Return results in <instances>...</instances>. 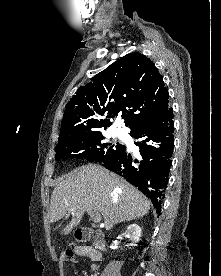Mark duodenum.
<instances>
[{
    "instance_id": "obj_1",
    "label": "duodenum",
    "mask_w": 221,
    "mask_h": 276,
    "mask_svg": "<svg viewBox=\"0 0 221 276\" xmlns=\"http://www.w3.org/2000/svg\"><path fill=\"white\" fill-rule=\"evenodd\" d=\"M76 239L81 243L92 242V248L96 251L104 249V241L101 237H94V232L87 228L77 229L75 231ZM99 252V251H98Z\"/></svg>"
}]
</instances>
